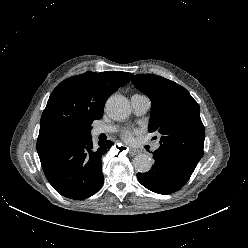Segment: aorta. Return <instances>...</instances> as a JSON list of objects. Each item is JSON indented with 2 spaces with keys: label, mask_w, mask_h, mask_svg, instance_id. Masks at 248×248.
<instances>
[{
  "label": "aorta",
  "mask_w": 248,
  "mask_h": 248,
  "mask_svg": "<svg viewBox=\"0 0 248 248\" xmlns=\"http://www.w3.org/2000/svg\"><path fill=\"white\" fill-rule=\"evenodd\" d=\"M109 117L116 121L126 119L130 114V104L122 95L111 96L106 102ZM135 169L140 173L148 172L152 167V158L147 154H138L133 160Z\"/></svg>",
  "instance_id": "aorta-1"
}]
</instances>
